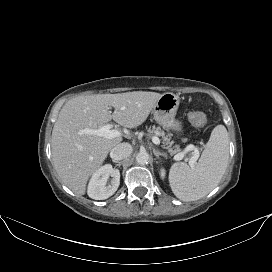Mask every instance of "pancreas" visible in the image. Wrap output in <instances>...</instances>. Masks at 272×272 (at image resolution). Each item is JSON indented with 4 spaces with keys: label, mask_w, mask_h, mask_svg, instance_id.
Listing matches in <instances>:
<instances>
[{
    "label": "pancreas",
    "mask_w": 272,
    "mask_h": 272,
    "mask_svg": "<svg viewBox=\"0 0 272 272\" xmlns=\"http://www.w3.org/2000/svg\"><path fill=\"white\" fill-rule=\"evenodd\" d=\"M148 132H149V134L162 137V142H163V144H165L167 146L166 148L168 149V152L171 155H174V154L179 153L181 151V149L178 146L171 148L172 143L170 142L169 135H166L165 132L160 127L153 126L152 129L151 128L148 129ZM188 149L192 150L194 148H188Z\"/></svg>",
    "instance_id": "pancreas-1"
}]
</instances>
